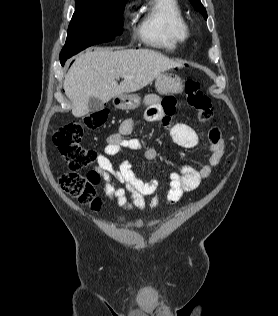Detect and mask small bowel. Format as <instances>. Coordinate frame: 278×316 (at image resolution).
<instances>
[{"mask_svg":"<svg viewBox=\"0 0 278 316\" xmlns=\"http://www.w3.org/2000/svg\"><path fill=\"white\" fill-rule=\"evenodd\" d=\"M144 104L147 106L145 119L149 122H159L168 120L175 110V100L173 97H165L163 100L157 95H147L144 98ZM135 127V120L127 118L120 123L119 131L111 134L106 141L103 151L97 153L96 173H100L104 179V191L110 200L126 210H143L146 207V197H151V206L156 207L159 204L158 183L156 180H143L133 169L128 160H124L118 167H115L109 157L118 155L124 149L141 150L142 144L136 138L128 137ZM170 136L176 144L184 148H195L199 143V138L195 130L184 123H177L170 127ZM208 151L207 162L194 167L189 164L181 166L179 171L170 173V189L167 193V201L171 204L177 203L182 196L200 186L202 181L209 178L212 171L217 167L225 153V143L218 127L213 126L208 133ZM157 150L148 147L143 150V156L146 160H155ZM125 184L127 189L120 187ZM129 193V197L127 196ZM126 225L139 229L143 222L139 218L125 220L120 218ZM159 220H153L149 223L150 227L155 226Z\"/></svg>","mask_w":278,"mask_h":316,"instance_id":"obj_1","label":"small bowel"}]
</instances>
